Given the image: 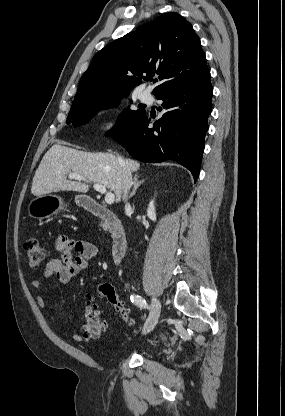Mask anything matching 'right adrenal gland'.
I'll list each match as a JSON object with an SVG mask.
<instances>
[{
	"mask_svg": "<svg viewBox=\"0 0 285 416\" xmlns=\"http://www.w3.org/2000/svg\"><path fill=\"white\" fill-rule=\"evenodd\" d=\"M138 178H139L138 174H135L134 182H133L134 190H132L130 196H128V200H129V198H132V196H135L137 188H139V186H141V184H143V182H145V180H138Z\"/></svg>",
	"mask_w": 285,
	"mask_h": 416,
	"instance_id": "obj_1",
	"label": "right adrenal gland"
}]
</instances>
